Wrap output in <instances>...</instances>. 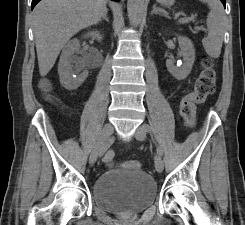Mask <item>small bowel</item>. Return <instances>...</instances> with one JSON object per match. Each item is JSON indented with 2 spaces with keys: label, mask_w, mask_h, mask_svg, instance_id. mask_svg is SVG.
<instances>
[{
  "label": "small bowel",
  "mask_w": 245,
  "mask_h": 225,
  "mask_svg": "<svg viewBox=\"0 0 245 225\" xmlns=\"http://www.w3.org/2000/svg\"><path fill=\"white\" fill-rule=\"evenodd\" d=\"M51 84V81L50 79L48 78H43L39 81V85L40 86H45V85H50Z\"/></svg>",
  "instance_id": "1"
}]
</instances>
